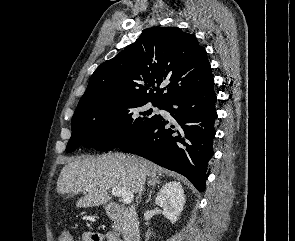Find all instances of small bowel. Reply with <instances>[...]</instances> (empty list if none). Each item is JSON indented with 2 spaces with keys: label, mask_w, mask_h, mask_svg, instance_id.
Masks as SVG:
<instances>
[{
  "label": "small bowel",
  "mask_w": 295,
  "mask_h": 241,
  "mask_svg": "<svg viewBox=\"0 0 295 241\" xmlns=\"http://www.w3.org/2000/svg\"><path fill=\"white\" fill-rule=\"evenodd\" d=\"M82 241H120L114 235H103L98 233H84L82 235Z\"/></svg>",
  "instance_id": "small-bowel-1"
}]
</instances>
